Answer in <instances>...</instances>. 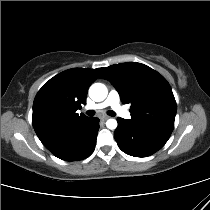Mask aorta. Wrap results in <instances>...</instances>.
I'll list each match as a JSON object with an SVG mask.
<instances>
[{
	"label": "aorta",
	"instance_id": "aorta-1",
	"mask_svg": "<svg viewBox=\"0 0 210 210\" xmlns=\"http://www.w3.org/2000/svg\"><path fill=\"white\" fill-rule=\"evenodd\" d=\"M108 94L107 87L102 83H94L89 88V96L93 101L101 102ZM117 121L115 119H108L106 126L108 129L114 130L117 128Z\"/></svg>",
	"mask_w": 210,
	"mask_h": 210
}]
</instances>
